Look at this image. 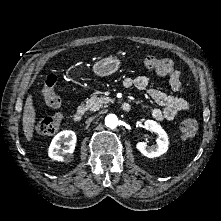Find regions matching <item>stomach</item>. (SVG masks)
Instances as JSON below:
<instances>
[{
	"label": "stomach",
	"mask_w": 221,
	"mask_h": 221,
	"mask_svg": "<svg viewBox=\"0 0 221 221\" xmlns=\"http://www.w3.org/2000/svg\"><path fill=\"white\" fill-rule=\"evenodd\" d=\"M120 67V60L116 56H110L96 62L93 71L96 75L104 77L115 73Z\"/></svg>",
	"instance_id": "stomach-1"
}]
</instances>
